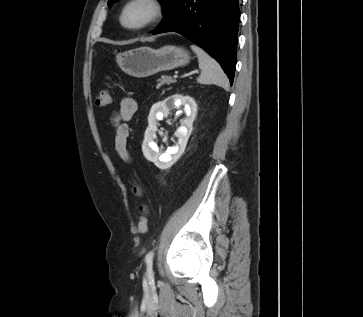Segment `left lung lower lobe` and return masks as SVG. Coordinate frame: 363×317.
<instances>
[{"label":"left lung lower lobe","instance_id":"obj_1","mask_svg":"<svg viewBox=\"0 0 363 317\" xmlns=\"http://www.w3.org/2000/svg\"><path fill=\"white\" fill-rule=\"evenodd\" d=\"M164 18L152 32H177L205 49L222 66L233 83L239 0H171L163 10Z\"/></svg>","mask_w":363,"mask_h":317}]
</instances>
